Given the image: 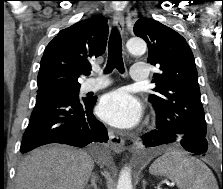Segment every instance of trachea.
<instances>
[{
  "instance_id": "3493384b",
  "label": "trachea",
  "mask_w": 223,
  "mask_h": 189,
  "mask_svg": "<svg viewBox=\"0 0 223 189\" xmlns=\"http://www.w3.org/2000/svg\"><path fill=\"white\" fill-rule=\"evenodd\" d=\"M114 68L121 73L124 72V64L122 58V41L117 30H113L108 44V62L105 73L111 72Z\"/></svg>"
}]
</instances>
